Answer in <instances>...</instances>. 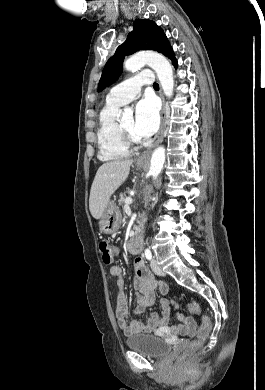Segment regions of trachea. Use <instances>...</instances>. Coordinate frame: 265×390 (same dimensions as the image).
<instances>
[{
	"mask_svg": "<svg viewBox=\"0 0 265 390\" xmlns=\"http://www.w3.org/2000/svg\"><path fill=\"white\" fill-rule=\"evenodd\" d=\"M153 87H154V88H159L158 83L155 82V83L153 84Z\"/></svg>",
	"mask_w": 265,
	"mask_h": 390,
	"instance_id": "obj_1",
	"label": "trachea"
}]
</instances>
